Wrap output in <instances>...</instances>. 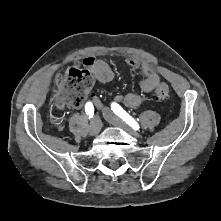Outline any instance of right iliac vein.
Listing matches in <instances>:
<instances>
[{"label":"right iliac vein","instance_id":"1","mask_svg":"<svg viewBox=\"0 0 221 221\" xmlns=\"http://www.w3.org/2000/svg\"><path fill=\"white\" fill-rule=\"evenodd\" d=\"M101 127H102L101 120L99 119V117H95L91 122L90 134L92 136L97 135L100 132Z\"/></svg>","mask_w":221,"mask_h":221}]
</instances>
